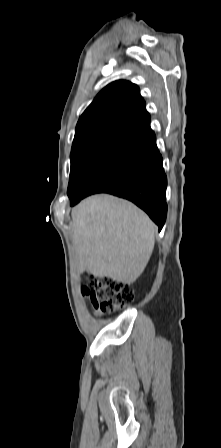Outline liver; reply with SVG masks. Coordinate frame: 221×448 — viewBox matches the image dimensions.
Wrapping results in <instances>:
<instances>
[{"label":"liver","mask_w":221,"mask_h":448,"mask_svg":"<svg viewBox=\"0 0 221 448\" xmlns=\"http://www.w3.org/2000/svg\"><path fill=\"white\" fill-rule=\"evenodd\" d=\"M72 239L80 271L131 284L144 271L156 226L129 201L108 194L88 197L72 211Z\"/></svg>","instance_id":"liver-1"}]
</instances>
